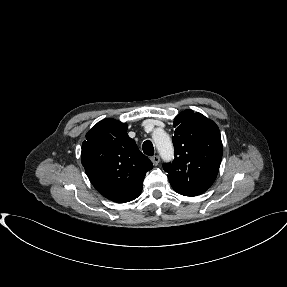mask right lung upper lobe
Returning <instances> with one entry per match:
<instances>
[{"mask_svg": "<svg viewBox=\"0 0 287 287\" xmlns=\"http://www.w3.org/2000/svg\"><path fill=\"white\" fill-rule=\"evenodd\" d=\"M81 160L92 185L116 203L137 198L146 172L153 168L128 136L127 124L115 119H104L90 129Z\"/></svg>", "mask_w": 287, "mask_h": 287, "instance_id": "right-lung-upper-lobe-1", "label": "right lung upper lobe"}]
</instances>
